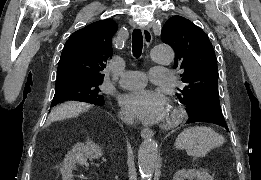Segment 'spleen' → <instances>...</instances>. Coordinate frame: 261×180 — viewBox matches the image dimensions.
Instances as JSON below:
<instances>
[{
	"label": "spleen",
	"mask_w": 261,
	"mask_h": 180,
	"mask_svg": "<svg viewBox=\"0 0 261 180\" xmlns=\"http://www.w3.org/2000/svg\"><path fill=\"white\" fill-rule=\"evenodd\" d=\"M176 142L177 146H180L182 150H186L188 156L204 158L214 148L223 146L225 140L223 136L214 132L212 128L195 126V128L184 130Z\"/></svg>",
	"instance_id": "1"
}]
</instances>
